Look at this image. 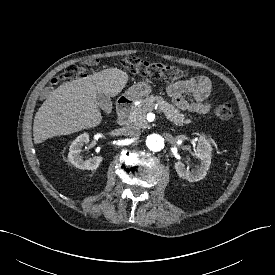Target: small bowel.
Listing matches in <instances>:
<instances>
[{"label": "small bowel", "mask_w": 275, "mask_h": 275, "mask_svg": "<svg viewBox=\"0 0 275 275\" xmlns=\"http://www.w3.org/2000/svg\"><path fill=\"white\" fill-rule=\"evenodd\" d=\"M166 90L175 106L181 110L205 114L210 109L211 83L205 76L169 84ZM185 94H191L194 101H188Z\"/></svg>", "instance_id": "small-bowel-1"}]
</instances>
